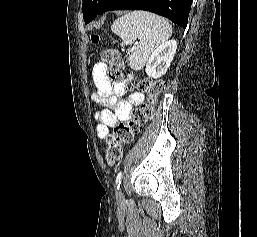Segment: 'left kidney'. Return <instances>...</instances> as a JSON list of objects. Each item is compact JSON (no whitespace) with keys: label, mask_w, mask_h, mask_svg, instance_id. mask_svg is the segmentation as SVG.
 Instances as JSON below:
<instances>
[{"label":"left kidney","mask_w":257,"mask_h":237,"mask_svg":"<svg viewBox=\"0 0 257 237\" xmlns=\"http://www.w3.org/2000/svg\"><path fill=\"white\" fill-rule=\"evenodd\" d=\"M177 42L175 40L166 41L159 46L151 55L148 64L146 65L145 71L149 77L154 79L163 76L176 53Z\"/></svg>","instance_id":"obj_1"}]
</instances>
